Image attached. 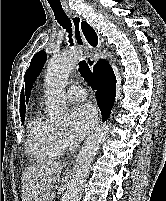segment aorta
<instances>
[{"mask_svg":"<svg viewBox=\"0 0 166 201\" xmlns=\"http://www.w3.org/2000/svg\"><path fill=\"white\" fill-rule=\"evenodd\" d=\"M78 52L67 51L49 61L45 77L46 106L50 119L55 123H66L68 108L64 93L71 70L78 61ZM110 124H104L87 139L80 150L71 180L64 195V201H80L91 163L101 144L108 137Z\"/></svg>","mask_w":166,"mask_h":201,"instance_id":"762f6f07","label":"aorta"}]
</instances>
